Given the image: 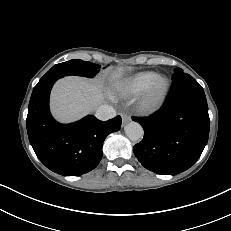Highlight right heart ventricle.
I'll return each mask as SVG.
<instances>
[{
	"label": "right heart ventricle",
	"instance_id": "1",
	"mask_svg": "<svg viewBox=\"0 0 231 231\" xmlns=\"http://www.w3.org/2000/svg\"><path fill=\"white\" fill-rule=\"evenodd\" d=\"M157 73L152 71L138 72L120 81L116 91L122 96H133L144 92L156 79Z\"/></svg>",
	"mask_w": 231,
	"mask_h": 231
}]
</instances>
